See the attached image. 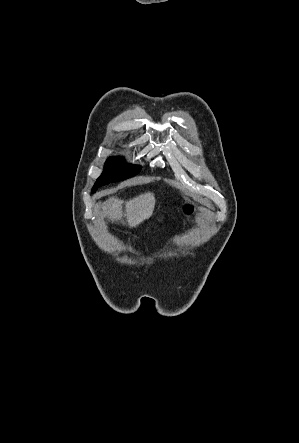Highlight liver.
I'll use <instances>...</instances> for the list:
<instances>
[{
    "label": "liver",
    "mask_w": 299,
    "mask_h": 443,
    "mask_svg": "<svg viewBox=\"0 0 299 443\" xmlns=\"http://www.w3.org/2000/svg\"><path fill=\"white\" fill-rule=\"evenodd\" d=\"M123 204H125L124 211ZM154 206V194L147 192L126 202L121 199L111 197L105 202L103 206V213L112 222H123V217H125L130 227H136L151 217Z\"/></svg>",
    "instance_id": "1"
}]
</instances>
